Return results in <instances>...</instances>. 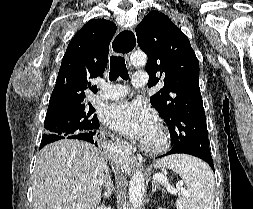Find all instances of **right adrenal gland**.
I'll list each match as a JSON object with an SVG mask.
<instances>
[{
  "instance_id": "obj_1",
  "label": "right adrenal gland",
  "mask_w": 253,
  "mask_h": 209,
  "mask_svg": "<svg viewBox=\"0 0 253 209\" xmlns=\"http://www.w3.org/2000/svg\"><path fill=\"white\" fill-rule=\"evenodd\" d=\"M106 176L108 177V180H109V182H108L109 192H108V194H104V196H109V195L112 194V192H113V190H114V185H113V181L111 180V178H110V176H109V174H108V171H107V173H106Z\"/></svg>"
}]
</instances>
